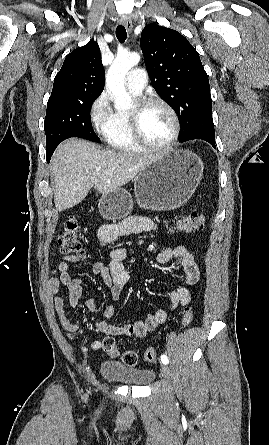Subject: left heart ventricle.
<instances>
[{"instance_id":"b2bd125f","label":"left heart ventricle","mask_w":269,"mask_h":445,"mask_svg":"<svg viewBox=\"0 0 269 445\" xmlns=\"http://www.w3.org/2000/svg\"><path fill=\"white\" fill-rule=\"evenodd\" d=\"M141 129L143 136L150 144L162 145L172 135L173 122L163 107L153 105L142 114Z\"/></svg>"}]
</instances>
